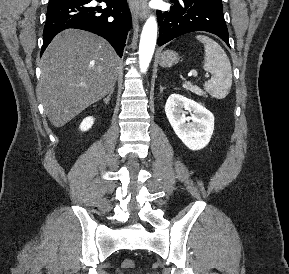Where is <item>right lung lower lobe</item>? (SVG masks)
<instances>
[{"mask_svg":"<svg viewBox=\"0 0 289 274\" xmlns=\"http://www.w3.org/2000/svg\"><path fill=\"white\" fill-rule=\"evenodd\" d=\"M93 0H50L43 31L41 54L56 34L67 28L83 29L105 38L122 57L131 16L126 0H96L106 8L94 7Z\"/></svg>","mask_w":289,"mask_h":274,"instance_id":"obj_1","label":"right lung lower lobe"}]
</instances>
